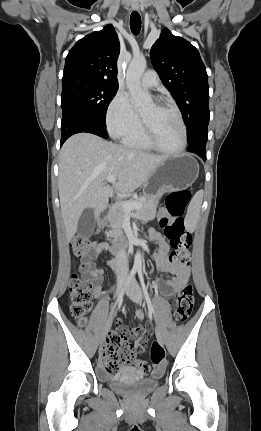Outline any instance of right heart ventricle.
I'll return each mask as SVG.
<instances>
[{
  "mask_svg": "<svg viewBox=\"0 0 261 431\" xmlns=\"http://www.w3.org/2000/svg\"><path fill=\"white\" fill-rule=\"evenodd\" d=\"M123 142L126 146L135 149L151 150L153 148L146 140L141 124L133 132L123 137Z\"/></svg>",
  "mask_w": 261,
  "mask_h": 431,
  "instance_id": "1",
  "label": "right heart ventricle"
}]
</instances>
